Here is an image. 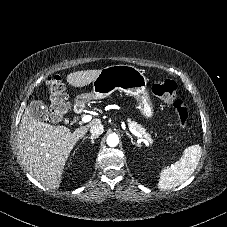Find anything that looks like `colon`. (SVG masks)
<instances>
[{
	"instance_id": "obj_1",
	"label": "colon",
	"mask_w": 227,
	"mask_h": 227,
	"mask_svg": "<svg viewBox=\"0 0 227 227\" xmlns=\"http://www.w3.org/2000/svg\"><path fill=\"white\" fill-rule=\"evenodd\" d=\"M50 102V117L53 122H60L68 111L65 85L60 76H53L47 81ZM151 90L160 100L171 103L174 102V112L179 122L185 126L189 119V110L185 102L176 100L177 85L172 80L155 81L151 85Z\"/></svg>"
}]
</instances>
